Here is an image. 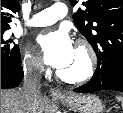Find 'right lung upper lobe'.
I'll list each match as a JSON object with an SVG mask.
<instances>
[{
	"label": "right lung upper lobe",
	"mask_w": 123,
	"mask_h": 113,
	"mask_svg": "<svg viewBox=\"0 0 123 113\" xmlns=\"http://www.w3.org/2000/svg\"><path fill=\"white\" fill-rule=\"evenodd\" d=\"M20 8L18 0H1V29L10 28L12 13Z\"/></svg>",
	"instance_id": "1"
}]
</instances>
